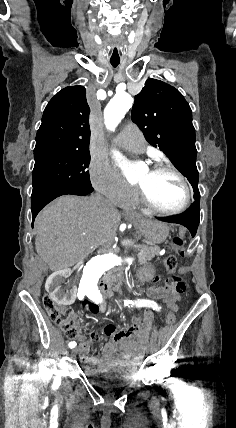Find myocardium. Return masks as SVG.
Returning <instances> with one entry per match:
<instances>
[{
    "label": "myocardium",
    "instance_id": "obj_1",
    "mask_svg": "<svg viewBox=\"0 0 236 428\" xmlns=\"http://www.w3.org/2000/svg\"><path fill=\"white\" fill-rule=\"evenodd\" d=\"M149 172L151 174H156L160 172H169L173 175H175L183 184L184 191H185V198L183 203L174 208V209H165L159 206L149 195L146 187L142 184H137V193H138V200L140 203L148 207L149 209L162 214V215H175L179 214L183 211H185L191 204L192 200V192H191V186L188 178L174 165L171 163H157L152 165L149 168Z\"/></svg>",
    "mask_w": 236,
    "mask_h": 428
}]
</instances>
